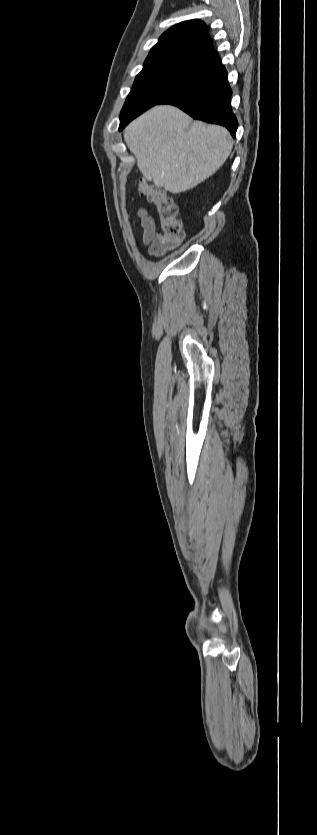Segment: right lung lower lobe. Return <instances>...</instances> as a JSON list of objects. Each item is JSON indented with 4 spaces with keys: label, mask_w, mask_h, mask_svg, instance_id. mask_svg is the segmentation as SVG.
Returning a JSON list of instances; mask_svg holds the SVG:
<instances>
[{
    "label": "right lung lower lobe",
    "mask_w": 317,
    "mask_h": 835,
    "mask_svg": "<svg viewBox=\"0 0 317 835\" xmlns=\"http://www.w3.org/2000/svg\"><path fill=\"white\" fill-rule=\"evenodd\" d=\"M190 59L205 75L206 81L169 97L161 104L175 105L194 119L226 127L235 137L238 122L230 105L232 90L218 54L210 52Z\"/></svg>",
    "instance_id": "1"
}]
</instances>
